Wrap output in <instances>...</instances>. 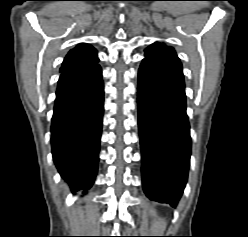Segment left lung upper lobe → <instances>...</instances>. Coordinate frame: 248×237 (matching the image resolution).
<instances>
[{
  "mask_svg": "<svg viewBox=\"0 0 248 237\" xmlns=\"http://www.w3.org/2000/svg\"><path fill=\"white\" fill-rule=\"evenodd\" d=\"M145 56L168 73L183 78L181 62L172 47L156 42L145 49Z\"/></svg>",
  "mask_w": 248,
  "mask_h": 237,
  "instance_id": "5c2ea615",
  "label": "left lung upper lobe"
}]
</instances>
